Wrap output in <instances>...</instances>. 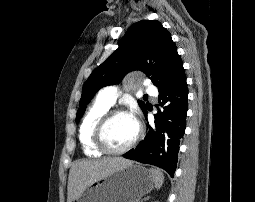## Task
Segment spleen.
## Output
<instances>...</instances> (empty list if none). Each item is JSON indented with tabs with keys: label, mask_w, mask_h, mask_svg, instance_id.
I'll return each instance as SVG.
<instances>
[{
	"label": "spleen",
	"mask_w": 255,
	"mask_h": 202,
	"mask_svg": "<svg viewBox=\"0 0 255 202\" xmlns=\"http://www.w3.org/2000/svg\"><path fill=\"white\" fill-rule=\"evenodd\" d=\"M150 171H151V173L154 177V180H155V187L157 189H159L162 186L163 182H164V175L158 169H150Z\"/></svg>",
	"instance_id": "obj_1"
}]
</instances>
